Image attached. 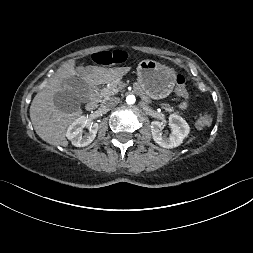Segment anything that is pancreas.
I'll return each instance as SVG.
<instances>
[{
    "mask_svg": "<svg viewBox=\"0 0 253 253\" xmlns=\"http://www.w3.org/2000/svg\"><path fill=\"white\" fill-rule=\"evenodd\" d=\"M124 86H125V84L122 83V82H120L118 84L111 83L108 87L103 88L100 91V98L101 99H107L110 96H113V95L117 94ZM165 110L167 112H173L174 111L173 108H171V107H165ZM174 113L176 114L178 112H174Z\"/></svg>",
    "mask_w": 253,
    "mask_h": 253,
    "instance_id": "pancreas-1",
    "label": "pancreas"
}]
</instances>
